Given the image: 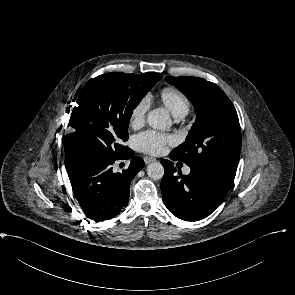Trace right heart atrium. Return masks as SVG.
<instances>
[{"label": "right heart atrium", "instance_id": "obj_1", "mask_svg": "<svg viewBox=\"0 0 295 295\" xmlns=\"http://www.w3.org/2000/svg\"><path fill=\"white\" fill-rule=\"evenodd\" d=\"M150 104V97L145 95L133 105L129 115V124L132 128H138L144 124Z\"/></svg>", "mask_w": 295, "mask_h": 295}]
</instances>
